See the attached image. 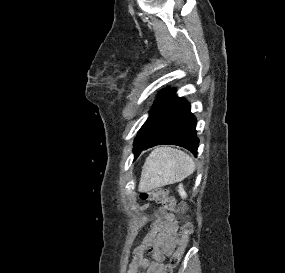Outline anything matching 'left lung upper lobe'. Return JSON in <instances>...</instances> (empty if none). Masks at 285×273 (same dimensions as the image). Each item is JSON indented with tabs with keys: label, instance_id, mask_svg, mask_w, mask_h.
<instances>
[{
	"label": "left lung upper lobe",
	"instance_id": "obj_1",
	"mask_svg": "<svg viewBox=\"0 0 285 273\" xmlns=\"http://www.w3.org/2000/svg\"><path fill=\"white\" fill-rule=\"evenodd\" d=\"M167 92H168V90L162 92V93L160 94L159 98L157 99L156 103H157ZM156 103H155V104H156Z\"/></svg>",
	"mask_w": 285,
	"mask_h": 273
}]
</instances>
